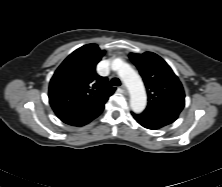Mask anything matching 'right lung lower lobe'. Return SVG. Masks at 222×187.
<instances>
[{"label": "right lung lower lobe", "instance_id": "right-lung-lower-lobe-1", "mask_svg": "<svg viewBox=\"0 0 222 187\" xmlns=\"http://www.w3.org/2000/svg\"><path fill=\"white\" fill-rule=\"evenodd\" d=\"M98 114H94L92 116L89 117H82V118H69V119H61L64 123L72 125V126H83L88 124L90 121H92L93 119H95Z\"/></svg>", "mask_w": 222, "mask_h": 187}]
</instances>
